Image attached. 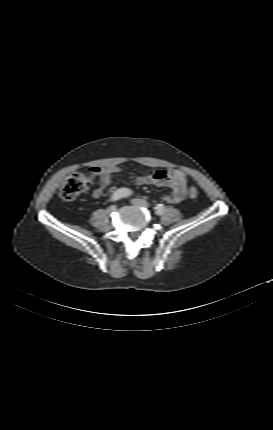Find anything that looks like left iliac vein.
<instances>
[{
	"instance_id": "left-iliac-vein-1",
	"label": "left iliac vein",
	"mask_w": 273,
	"mask_h": 430,
	"mask_svg": "<svg viewBox=\"0 0 273 430\" xmlns=\"http://www.w3.org/2000/svg\"><path fill=\"white\" fill-rule=\"evenodd\" d=\"M131 203L133 204V205H136V206H141V207H144V208H148L149 207V204H148V202H146L145 200H143V199H132L131 200Z\"/></svg>"
}]
</instances>
